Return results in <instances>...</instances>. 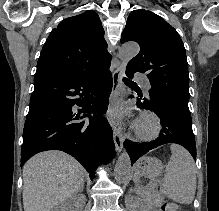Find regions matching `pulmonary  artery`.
Masks as SVG:
<instances>
[{
	"instance_id": "1",
	"label": "pulmonary artery",
	"mask_w": 219,
	"mask_h": 211,
	"mask_svg": "<svg viewBox=\"0 0 219 211\" xmlns=\"http://www.w3.org/2000/svg\"><path fill=\"white\" fill-rule=\"evenodd\" d=\"M133 79L134 80H141L142 76L141 75H134ZM143 87H144L145 91L148 93L150 90V84L148 82H143Z\"/></svg>"
}]
</instances>
